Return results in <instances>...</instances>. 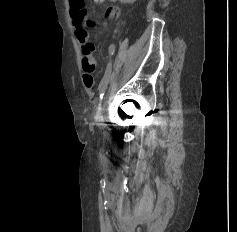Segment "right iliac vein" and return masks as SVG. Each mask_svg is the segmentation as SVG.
<instances>
[{
	"instance_id": "obj_1",
	"label": "right iliac vein",
	"mask_w": 237,
	"mask_h": 232,
	"mask_svg": "<svg viewBox=\"0 0 237 232\" xmlns=\"http://www.w3.org/2000/svg\"><path fill=\"white\" fill-rule=\"evenodd\" d=\"M99 117H101V111L99 112Z\"/></svg>"
}]
</instances>
